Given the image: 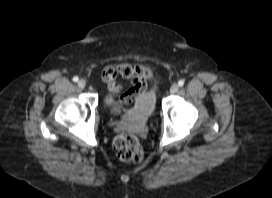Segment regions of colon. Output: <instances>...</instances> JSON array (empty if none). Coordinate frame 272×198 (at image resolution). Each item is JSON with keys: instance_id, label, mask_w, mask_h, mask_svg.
<instances>
[{"instance_id": "5ec220e1", "label": "colon", "mask_w": 272, "mask_h": 198, "mask_svg": "<svg viewBox=\"0 0 272 198\" xmlns=\"http://www.w3.org/2000/svg\"><path fill=\"white\" fill-rule=\"evenodd\" d=\"M111 74L112 70L108 68L104 71L103 77L107 78ZM113 148L117 156L123 161L139 162L143 158V149L140 142L130 133L118 135L113 142Z\"/></svg>"}]
</instances>
